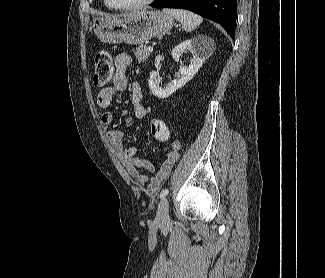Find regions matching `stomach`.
<instances>
[{
  "instance_id": "0dacf381",
  "label": "stomach",
  "mask_w": 325,
  "mask_h": 278,
  "mask_svg": "<svg viewBox=\"0 0 325 278\" xmlns=\"http://www.w3.org/2000/svg\"><path fill=\"white\" fill-rule=\"evenodd\" d=\"M173 23V17L162 11L139 10L123 17H96L92 28L103 43L141 45L168 33Z\"/></svg>"
}]
</instances>
